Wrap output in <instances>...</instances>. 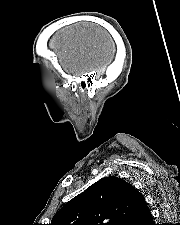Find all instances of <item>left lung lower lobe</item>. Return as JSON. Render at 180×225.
<instances>
[{"label": "left lung lower lobe", "mask_w": 180, "mask_h": 225, "mask_svg": "<svg viewBox=\"0 0 180 225\" xmlns=\"http://www.w3.org/2000/svg\"><path fill=\"white\" fill-rule=\"evenodd\" d=\"M125 225H155L153 222L152 214L147 207L141 212L133 216Z\"/></svg>", "instance_id": "0a47b994"}]
</instances>
